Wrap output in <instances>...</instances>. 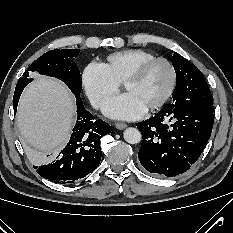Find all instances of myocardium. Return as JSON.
Here are the masks:
<instances>
[{"instance_id": "obj_1", "label": "myocardium", "mask_w": 233, "mask_h": 233, "mask_svg": "<svg viewBox=\"0 0 233 233\" xmlns=\"http://www.w3.org/2000/svg\"><path fill=\"white\" fill-rule=\"evenodd\" d=\"M156 63H163L165 64L170 72V81H169V85L168 88L166 90V92L164 93V95L154 104H152L151 106H149L147 108V111H154L156 109L161 108L163 105H165L167 103V101L170 99V97L172 96L175 86H176V82H177V73H176V69L173 65V63L168 60L167 58L164 57H154L148 61H145L143 63H141L140 65H138L124 80L123 82V87L124 89L126 88V86L131 83V82H135L137 80H139L144 74L145 72L154 64Z\"/></svg>"}]
</instances>
